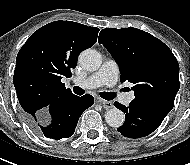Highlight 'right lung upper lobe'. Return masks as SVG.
Segmentation results:
<instances>
[{"label": "right lung upper lobe", "mask_w": 190, "mask_h": 165, "mask_svg": "<svg viewBox=\"0 0 190 165\" xmlns=\"http://www.w3.org/2000/svg\"><path fill=\"white\" fill-rule=\"evenodd\" d=\"M99 29L55 21L38 29L20 49L13 83L24 114L36 115L61 96L71 95L61 82L71 77L81 51L96 41Z\"/></svg>", "instance_id": "right-lung-upper-lobe-1"}]
</instances>
